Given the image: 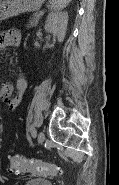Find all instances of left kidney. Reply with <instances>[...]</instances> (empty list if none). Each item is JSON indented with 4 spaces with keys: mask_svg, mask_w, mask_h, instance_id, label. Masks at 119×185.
Instances as JSON below:
<instances>
[{
    "mask_svg": "<svg viewBox=\"0 0 119 185\" xmlns=\"http://www.w3.org/2000/svg\"><path fill=\"white\" fill-rule=\"evenodd\" d=\"M68 24L67 12H51L46 19L45 30L63 42Z\"/></svg>",
    "mask_w": 119,
    "mask_h": 185,
    "instance_id": "obj_1",
    "label": "left kidney"
}]
</instances>
